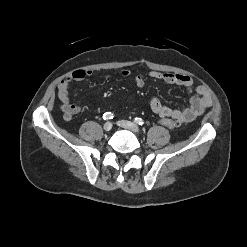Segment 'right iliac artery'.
<instances>
[{
	"label": "right iliac artery",
	"mask_w": 247,
	"mask_h": 247,
	"mask_svg": "<svg viewBox=\"0 0 247 247\" xmlns=\"http://www.w3.org/2000/svg\"><path fill=\"white\" fill-rule=\"evenodd\" d=\"M114 116H113V113H111V112H106V113H104V115H103V119L104 120H110V119H112Z\"/></svg>",
	"instance_id": "82829eb1"
}]
</instances>
